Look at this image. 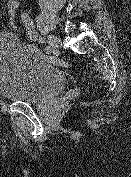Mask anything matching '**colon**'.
<instances>
[{
  "mask_svg": "<svg viewBox=\"0 0 131 177\" xmlns=\"http://www.w3.org/2000/svg\"><path fill=\"white\" fill-rule=\"evenodd\" d=\"M4 13L8 19V23L10 27L17 33H21V26H20V13H21V7L20 2L18 0H4ZM28 48L32 53H34L36 56L42 58L43 60H46L47 62L62 66V67H70L71 65L67 63L66 61L54 57L49 56L44 53H42L36 46H34L32 43H28Z\"/></svg>",
  "mask_w": 131,
  "mask_h": 177,
  "instance_id": "obj_1",
  "label": "colon"
}]
</instances>
